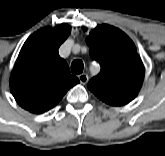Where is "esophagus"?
<instances>
[{"label":"esophagus","mask_w":165,"mask_h":156,"mask_svg":"<svg viewBox=\"0 0 165 156\" xmlns=\"http://www.w3.org/2000/svg\"><path fill=\"white\" fill-rule=\"evenodd\" d=\"M78 79L80 83L86 84L88 82L89 77L87 74L83 73V74L78 75Z\"/></svg>","instance_id":"1"}]
</instances>
